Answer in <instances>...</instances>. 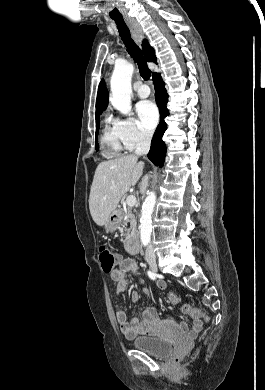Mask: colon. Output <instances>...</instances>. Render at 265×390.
Returning <instances> with one entry per match:
<instances>
[{"label": "colon", "mask_w": 265, "mask_h": 390, "mask_svg": "<svg viewBox=\"0 0 265 390\" xmlns=\"http://www.w3.org/2000/svg\"><path fill=\"white\" fill-rule=\"evenodd\" d=\"M99 260L105 273H111L117 264L116 255L105 246L99 248ZM168 298L173 304L179 302V297L173 292L168 294ZM182 311L193 319L205 320L204 313L189 304H184L182 306Z\"/></svg>", "instance_id": "colon-1"}]
</instances>
